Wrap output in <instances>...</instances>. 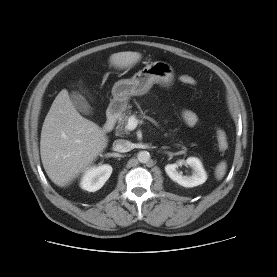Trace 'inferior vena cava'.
<instances>
[{
	"label": "inferior vena cava",
	"mask_w": 277,
	"mask_h": 277,
	"mask_svg": "<svg viewBox=\"0 0 277 277\" xmlns=\"http://www.w3.org/2000/svg\"><path fill=\"white\" fill-rule=\"evenodd\" d=\"M113 149L117 152L125 153L133 149V144L125 139H117L113 142Z\"/></svg>",
	"instance_id": "602c4592"
}]
</instances>
